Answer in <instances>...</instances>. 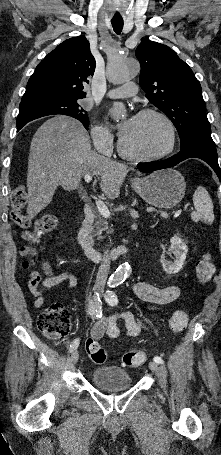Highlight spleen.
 I'll return each mask as SVG.
<instances>
[{"label":"spleen","mask_w":221,"mask_h":455,"mask_svg":"<svg viewBox=\"0 0 221 455\" xmlns=\"http://www.w3.org/2000/svg\"><path fill=\"white\" fill-rule=\"evenodd\" d=\"M193 203L196 211L191 213V219L194 222L204 221L212 224L214 221L213 202L204 187H197L193 194Z\"/></svg>","instance_id":"obj_1"}]
</instances>
